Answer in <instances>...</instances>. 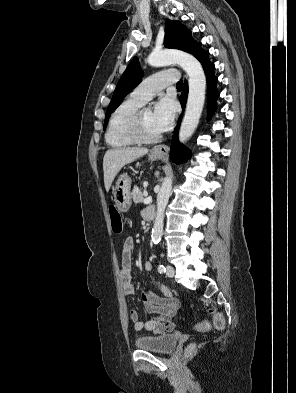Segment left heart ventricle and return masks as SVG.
Masks as SVG:
<instances>
[{"instance_id": "b2bd125f", "label": "left heart ventricle", "mask_w": 296, "mask_h": 393, "mask_svg": "<svg viewBox=\"0 0 296 393\" xmlns=\"http://www.w3.org/2000/svg\"><path fill=\"white\" fill-rule=\"evenodd\" d=\"M141 119H142V126H143V131L145 135L147 136H155L159 134V132L156 131L152 124V112L148 110L142 111L141 114Z\"/></svg>"}]
</instances>
